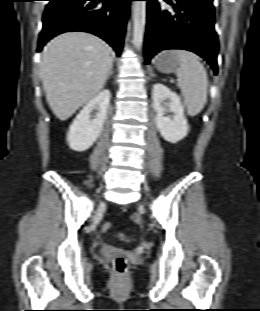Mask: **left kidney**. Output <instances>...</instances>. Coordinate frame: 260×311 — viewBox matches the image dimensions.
<instances>
[{
  "instance_id": "5707ae66",
  "label": "left kidney",
  "mask_w": 260,
  "mask_h": 311,
  "mask_svg": "<svg viewBox=\"0 0 260 311\" xmlns=\"http://www.w3.org/2000/svg\"><path fill=\"white\" fill-rule=\"evenodd\" d=\"M152 107L156 112L155 123L161 136L168 142L177 143L185 138L189 131L187 120L184 116V107L180 97L162 84H155L152 90ZM170 102L164 105L165 100ZM169 110L172 117H166Z\"/></svg>"
}]
</instances>
